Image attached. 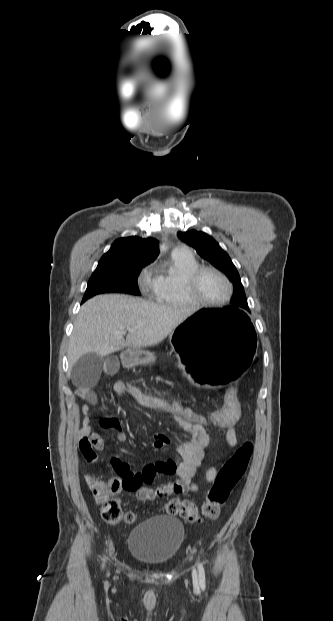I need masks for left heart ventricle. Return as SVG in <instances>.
Segmentation results:
<instances>
[{"label":"left heart ventricle","instance_id":"1","mask_svg":"<svg viewBox=\"0 0 333 621\" xmlns=\"http://www.w3.org/2000/svg\"><path fill=\"white\" fill-rule=\"evenodd\" d=\"M197 292L205 300L219 301L227 295L228 288L222 278L214 273L207 272L200 277Z\"/></svg>","mask_w":333,"mask_h":621}]
</instances>
